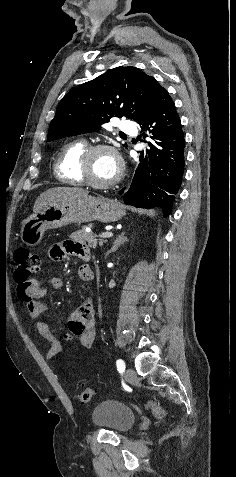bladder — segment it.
Listing matches in <instances>:
<instances>
[{"mask_svg": "<svg viewBox=\"0 0 236 477\" xmlns=\"http://www.w3.org/2000/svg\"><path fill=\"white\" fill-rule=\"evenodd\" d=\"M134 412L126 405L106 400L97 404L91 411V423L100 428L116 433H126L135 422Z\"/></svg>", "mask_w": 236, "mask_h": 477, "instance_id": "bladder-1", "label": "bladder"}]
</instances>
